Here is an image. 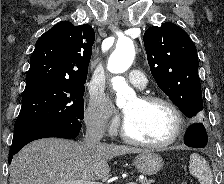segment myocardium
I'll return each instance as SVG.
<instances>
[{"instance_id":"myocardium-1","label":"myocardium","mask_w":224,"mask_h":184,"mask_svg":"<svg viewBox=\"0 0 224 184\" xmlns=\"http://www.w3.org/2000/svg\"><path fill=\"white\" fill-rule=\"evenodd\" d=\"M139 99L143 103H147V104L161 103L167 106L172 111L175 118V126H174L173 133L167 140L163 142H160V143L146 142L130 135L128 131L127 121L125 119L121 128L122 137L131 144L150 148V149H156V150L164 149L174 144L181 137L184 131V126H185L184 117L179 107L172 100L160 95H142L139 97Z\"/></svg>"}]
</instances>
